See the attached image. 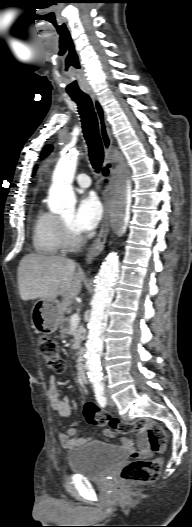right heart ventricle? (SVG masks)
Segmentation results:
<instances>
[{"label":"right heart ventricle","instance_id":"1","mask_svg":"<svg viewBox=\"0 0 192 527\" xmlns=\"http://www.w3.org/2000/svg\"><path fill=\"white\" fill-rule=\"evenodd\" d=\"M32 243L35 251L42 255H56L63 249L60 218L40 207L33 218Z\"/></svg>","mask_w":192,"mask_h":527}]
</instances>
